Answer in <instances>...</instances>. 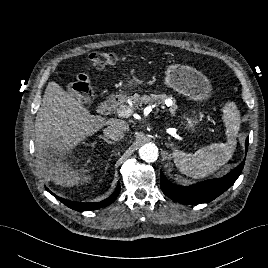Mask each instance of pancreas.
<instances>
[{"label": "pancreas", "mask_w": 268, "mask_h": 268, "mask_svg": "<svg viewBox=\"0 0 268 268\" xmlns=\"http://www.w3.org/2000/svg\"><path fill=\"white\" fill-rule=\"evenodd\" d=\"M129 99L136 108H142L144 104H152L156 102L164 105L165 101L171 100L172 102H167V106L170 107V112L172 115H175V111L177 108L174 98L171 95H167L165 93L159 95L151 94L150 96H140L139 94H134L131 95Z\"/></svg>", "instance_id": "obj_1"}]
</instances>
